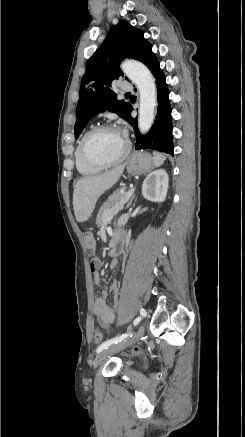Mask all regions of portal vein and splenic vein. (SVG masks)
I'll use <instances>...</instances> for the list:
<instances>
[{
    "label": "portal vein and splenic vein",
    "instance_id": "18ae733b",
    "mask_svg": "<svg viewBox=\"0 0 245 437\" xmlns=\"http://www.w3.org/2000/svg\"><path fill=\"white\" fill-rule=\"evenodd\" d=\"M134 193V188L131 186L130 190H128V192H126L125 194V198L122 200V202L116 206H114L107 214H106V218L110 219L112 218L114 215H116L119 211H121L124 207V204L129 200V198L133 195Z\"/></svg>",
    "mask_w": 245,
    "mask_h": 437
}]
</instances>
